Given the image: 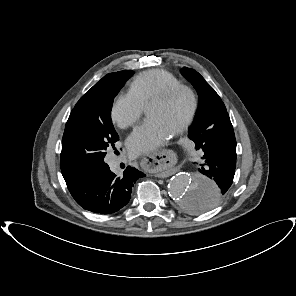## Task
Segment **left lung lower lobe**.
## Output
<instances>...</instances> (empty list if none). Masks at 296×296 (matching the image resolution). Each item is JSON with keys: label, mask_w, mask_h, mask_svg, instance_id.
<instances>
[{"label": "left lung lower lobe", "mask_w": 296, "mask_h": 296, "mask_svg": "<svg viewBox=\"0 0 296 296\" xmlns=\"http://www.w3.org/2000/svg\"><path fill=\"white\" fill-rule=\"evenodd\" d=\"M203 164L199 172L218 186L213 192L193 201V212L208 210L221 200L232 185L236 168V139L229 115L217 121L203 134Z\"/></svg>", "instance_id": "0a47b994"}]
</instances>
